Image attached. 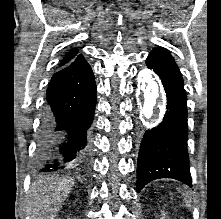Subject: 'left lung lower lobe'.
Returning a JSON list of instances; mask_svg holds the SVG:
<instances>
[{
	"label": "left lung lower lobe",
	"mask_w": 221,
	"mask_h": 219,
	"mask_svg": "<svg viewBox=\"0 0 221 219\" xmlns=\"http://www.w3.org/2000/svg\"><path fill=\"white\" fill-rule=\"evenodd\" d=\"M146 64L162 80L167 111L157 128L147 130L141 141L137 192L159 178H173L192 186L187 151V99L182 75L170 53L162 48L154 49Z\"/></svg>",
	"instance_id": "obj_1"
}]
</instances>
